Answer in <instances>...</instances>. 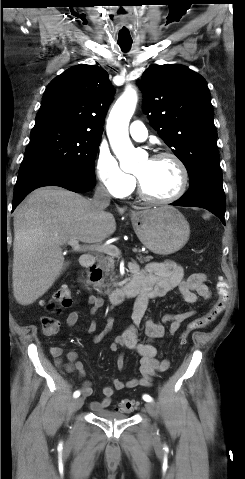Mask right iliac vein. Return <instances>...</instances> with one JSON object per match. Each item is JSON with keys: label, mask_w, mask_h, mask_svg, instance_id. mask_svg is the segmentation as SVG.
I'll return each mask as SVG.
<instances>
[{"label": "right iliac vein", "mask_w": 245, "mask_h": 479, "mask_svg": "<svg viewBox=\"0 0 245 479\" xmlns=\"http://www.w3.org/2000/svg\"><path fill=\"white\" fill-rule=\"evenodd\" d=\"M83 405V399L82 398H77L73 401L71 410L73 412L79 410Z\"/></svg>", "instance_id": "obj_1"}]
</instances>
